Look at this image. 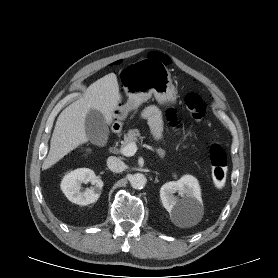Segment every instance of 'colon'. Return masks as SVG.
I'll use <instances>...</instances> for the list:
<instances>
[{
  "mask_svg": "<svg viewBox=\"0 0 278 278\" xmlns=\"http://www.w3.org/2000/svg\"><path fill=\"white\" fill-rule=\"evenodd\" d=\"M185 105L190 116L196 121H200L207 110L206 102L196 93H189L185 97ZM82 151L87 153L88 149L83 148ZM209 159L213 183L216 188L221 189L224 187L227 178V155L219 143L211 144Z\"/></svg>",
  "mask_w": 278,
  "mask_h": 278,
  "instance_id": "obj_1",
  "label": "colon"
}]
</instances>
